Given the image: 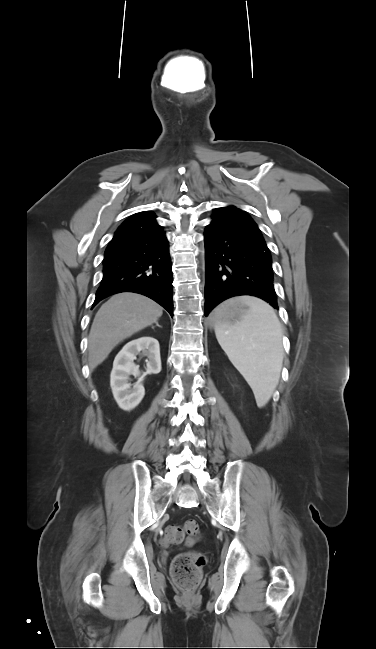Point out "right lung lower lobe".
I'll use <instances>...</instances> for the list:
<instances>
[{
  "mask_svg": "<svg viewBox=\"0 0 376 649\" xmlns=\"http://www.w3.org/2000/svg\"><path fill=\"white\" fill-rule=\"evenodd\" d=\"M172 282L169 244L162 229L109 243L93 307L112 294L135 292L153 299L173 317Z\"/></svg>",
  "mask_w": 376,
  "mask_h": 649,
  "instance_id": "right-lung-lower-lobe-1",
  "label": "right lung lower lobe"
}]
</instances>
